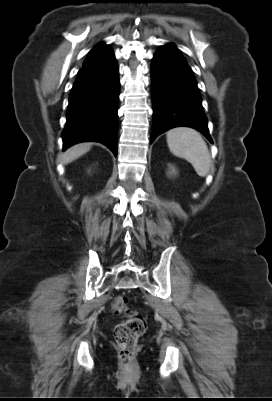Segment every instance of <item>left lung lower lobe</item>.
Returning a JSON list of instances; mask_svg holds the SVG:
<instances>
[{
	"label": "left lung lower lobe",
	"mask_w": 272,
	"mask_h": 401,
	"mask_svg": "<svg viewBox=\"0 0 272 401\" xmlns=\"http://www.w3.org/2000/svg\"><path fill=\"white\" fill-rule=\"evenodd\" d=\"M153 123L151 143L174 127H191L211 143L201 95L191 68L173 45L160 47L151 64Z\"/></svg>",
	"instance_id": "1"
}]
</instances>
